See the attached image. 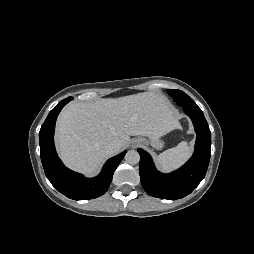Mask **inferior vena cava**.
Masks as SVG:
<instances>
[{
	"instance_id": "inferior-vena-cava-1",
	"label": "inferior vena cava",
	"mask_w": 254,
	"mask_h": 254,
	"mask_svg": "<svg viewBox=\"0 0 254 254\" xmlns=\"http://www.w3.org/2000/svg\"><path fill=\"white\" fill-rule=\"evenodd\" d=\"M119 149H120V145L116 142L109 143L105 147V151L108 155H112V154L117 153L119 151Z\"/></svg>"
}]
</instances>
